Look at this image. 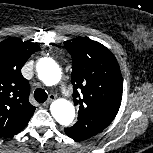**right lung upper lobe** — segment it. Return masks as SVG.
<instances>
[{
    "instance_id": "1",
    "label": "right lung upper lobe",
    "mask_w": 153,
    "mask_h": 153,
    "mask_svg": "<svg viewBox=\"0 0 153 153\" xmlns=\"http://www.w3.org/2000/svg\"><path fill=\"white\" fill-rule=\"evenodd\" d=\"M40 47L18 38L0 42V137H12L28 124L35 107L29 103L30 86L21 68Z\"/></svg>"
}]
</instances>
